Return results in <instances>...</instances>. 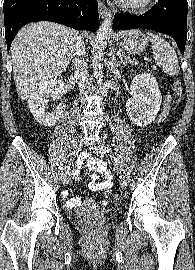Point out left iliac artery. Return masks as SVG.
I'll return each instance as SVG.
<instances>
[{
	"mask_svg": "<svg viewBox=\"0 0 195 270\" xmlns=\"http://www.w3.org/2000/svg\"><path fill=\"white\" fill-rule=\"evenodd\" d=\"M105 151L110 155V157L113 159L114 164L117 168V170H119L120 172L122 171L121 166H120V162L118 161V159L114 156L113 152L111 151V149L108 146H105Z\"/></svg>",
	"mask_w": 195,
	"mask_h": 270,
	"instance_id": "obj_1",
	"label": "left iliac artery"
}]
</instances>
